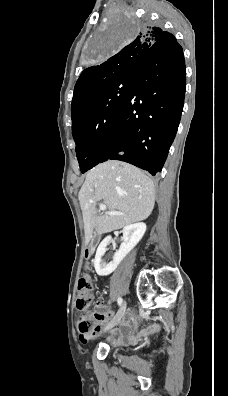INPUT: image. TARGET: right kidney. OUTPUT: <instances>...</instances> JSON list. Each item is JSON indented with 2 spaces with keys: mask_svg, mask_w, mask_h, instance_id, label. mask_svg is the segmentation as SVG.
I'll use <instances>...</instances> for the list:
<instances>
[{
  "mask_svg": "<svg viewBox=\"0 0 228 396\" xmlns=\"http://www.w3.org/2000/svg\"><path fill=\"white\" fill-rule=\"evenodd\" d=\"M145 232L146 224L143 222L125 226L122 230L123 237L120 248L114 254L113 260L109 263H106L102 257L111 241V236H107L105 239H103L97 248L94 259L96 273L99 276H107L111 274L121 263V261L127 256V254L139 243Z\"/></svg>",
  "mask_w": 228,
  "mask_h": 396,
  "instance_id": "1",
  "label": "right kidney"
}]
</instances>
